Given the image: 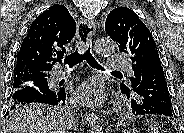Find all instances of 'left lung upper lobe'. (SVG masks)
Listing matches in <instances>:
<instances>
[{"mask_svg":"<svg viewBox=\"0 0 184 133\" xmlns=\"http://www.w3.org/2000/svg\"><path fill=\"white\" fill-rule=\"evenodd\" d=\"M105 31L117 43L121 52L131 55L134 77L130 78V86L121 84V91H133L143 79L144 63L151 58L153 51L157 52L152 34L127 7L115 8L108 14Z\"/></svg>","mask_w":184,"mask_h":133,"instance_id":"obj_1","label":"left lung upper lobe"}]
</instances>
